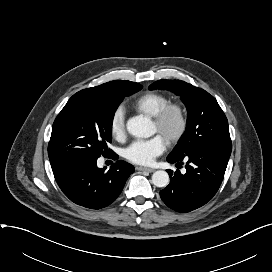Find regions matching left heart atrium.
I'll list each match as a JSON object with an SVG mask.
<instances>
[{"instance_id": "obj_1", "label": "left heart atrium", "mask_w": 272, "mask_h": 272, "mask_svg": "<svg viewBox=\"0 0 272 272\" xmlns=\"http://www.w3.org/2000/svg\"><path fill=\"white\" fill-rule=\"evenodd\" d=\"M166 149V140L161 135L146 140L133 141L125 150L124 157L139 165H148Z\"/></svg>"}]
</instances>
